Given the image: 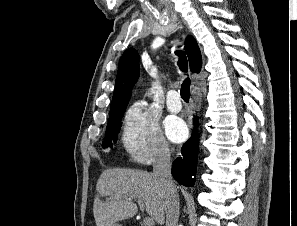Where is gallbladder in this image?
I'll list each match as a JSON object with an SVG mask.
<instances>
[{"mask_svg":"<svg viewBox=\"0 0 297 226\" xmlns=\"http://www.w3.org/2000/svg\"><path fill=\"white\" fill-rule=\"evenodd\" d=\"M114 226H121L120 224H115Z\"/></svg>","mask_w":297,"mask_h":226,"instance_id":"obj_1","label":"gallbladder"}]
</instances>
